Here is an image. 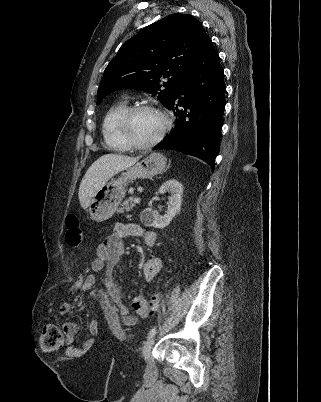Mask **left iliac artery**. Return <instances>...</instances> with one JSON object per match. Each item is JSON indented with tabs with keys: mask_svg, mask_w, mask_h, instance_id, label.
<instances>
[{
	"mask_svg": "<svg viewBox=\"0 0 321 402\" xmlns=\"http://www.w3.org/2000/svg\"><path fill=\"white\" fill-rule=\"evenodd\" d=\"M155 333H156V329H155V328H152V329L150 330L149 334H148V339L152 338V337L155 335Z\"/></svg>",
	"mask_w": 321,
	"mask_h": 402,
	"instance_id": "obj_1",
	"label": "left iliac artery"
}]
</instances>
